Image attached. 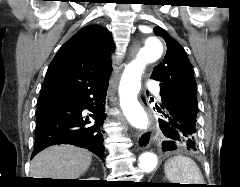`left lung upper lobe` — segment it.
I'll use <instances>...</instances> for the list:
<instances>
[{"mask_svg":"<svg viewBox=\"0 0 240 187\" xmlns=\"http://www.w3.org/2000/svg\"><path fill=\"white\" fill-rule=\"evenodd\" d=\"M154 33L165 40L167 52L164 60L153 69L151 78L160 82L161 96L171 98L197 112V85L184 49L161 27L156 26Z\"/></svg>","mask_w":240,"mask_h":187,"instance_id":"1","label":"left lung upper lobe"}]
</instances>
